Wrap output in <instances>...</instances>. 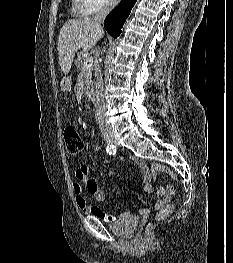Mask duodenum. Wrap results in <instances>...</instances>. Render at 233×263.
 I'll list each match as a JSON object with an SVG mask.
<instances>
[{
    "label": "duodenum",
    "mask_w": 233,
    "mask_h": 263,
    "mask_svg": "<svg viewBox=\"0 0 233 263\" xmlns=\"http://www.w3.org/2000/svg\"><path fill=\"white\" fill-rule=\"evenodd\" d=\"M84 84H85V92L88 94H93L94 90L92 89V85L94 84V81L92 78H85L84 79ZM92 103H97L98 99L97 98H92L91 99Z\"/></svg>",
    "instance_id": "1"
}]
</instances>
